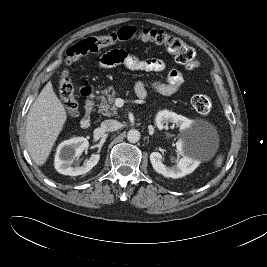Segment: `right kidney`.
<instances>
[{
    "mask_svg": "<svg viewBox=\"0 0 267 267\" xmlns=\"http://www.w3.org/2000/svg\"><path fill=\"white\" fill-rule=\"evenodd\" d=\"M89 143L84 137H74L62 142L57 149L55 156V168L63 174L69 176L82 175L89 172L99 161V154H92L82 166H72L76 157L88 148Z\"/></svg>",
    "mask_w": 267,
    "mask_h": 267,
    "instance_id": "ca27d5eb",
    "label": "right kidney"
}]
</instances>
